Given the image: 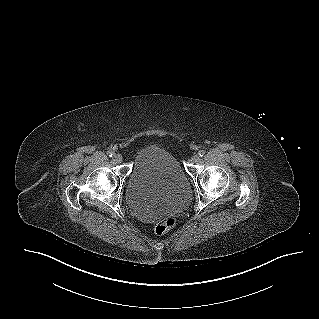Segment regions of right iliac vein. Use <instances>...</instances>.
<instances>
[{"instance_id":"right-iliac-vein-1","label":"right iliac vein","mask_w":319,"mask_h":319,"mask_svg":"<svg viewBox=\"0 0 319 319\" xmlns=\"http://www.w3.org/2000/svg\"><path fill=\"white\" fill-rule=\"evenodd\" d=\"M112 159L116 163H121L122 162V156L120 154H114Z\"/></svg>"}]
</instances>
